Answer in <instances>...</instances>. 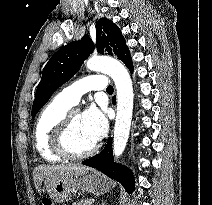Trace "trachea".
Returning <instances> with one entry per match:
<instances>
[{
	"label": "trachea",
	"mask_w": 212,
	"mask_h": 205,
	"mask_svg": "<svg viewBox=\"0 0 212 205\" xmlns=\"http://www.w3.org/2000/svg\"><path fill=\"white\" fill-rule=\"evenodd\" d=\"M113 87L111 86V85H109L108 87H107V89H106V91L108 92V93H112L113 92Z\"/></svg>",
	"instance_id": "obj_1"
}]
</instances>
